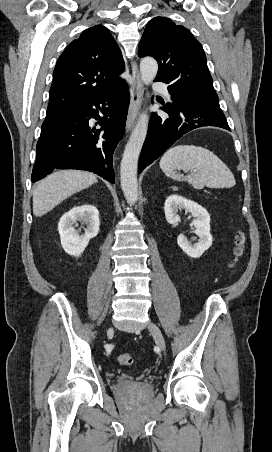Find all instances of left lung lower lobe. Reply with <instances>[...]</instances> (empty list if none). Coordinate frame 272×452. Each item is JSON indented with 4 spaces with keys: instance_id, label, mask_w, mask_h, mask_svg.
<instances>
[{
    "instance_id": "left-lung-lower-lobe-1",
    "label": "left lung lower lobe",
    "mask_w": 272,
    "mask_h": 452,
    "mask_svg": "<svg viewBox=\"0 0 272 452\" xmlns=\"http://www.w3.org/2000/svg\"><path fill=\"white\" fill-rule=\"evenodd\" d=\"M169 93L173 104L168 103L161 108L169 114V118L165 119L156 113L152 114L139 159V173L180 137L193 129L216 126L231 131L220 108L219 99L174 90H169Z\"/></svg>"
}]
</instances>
